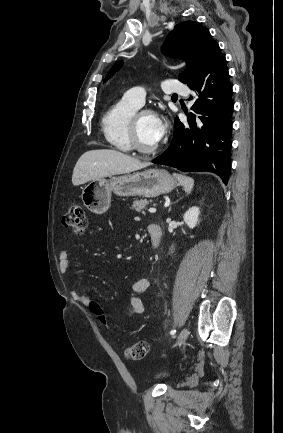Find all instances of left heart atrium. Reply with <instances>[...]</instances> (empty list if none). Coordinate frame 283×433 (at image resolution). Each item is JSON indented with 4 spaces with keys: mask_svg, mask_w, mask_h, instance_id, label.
Returning a JSON list of instances; mask_svg holds the SVG:
<instances>
[{
    "mask_svg": "<svg viewBox=\"0 0 283 433\" xmlns=\"http://www.w3.org/2000/svg\"><path fill=\"white\" fill-rule=\"evenodd\" d=\"M165 133L164 122L155 115V124L152 132V141L155 145L159 144Z\"/></svg>",
    "mask_w": 283,
    "mask_h": 433,
    "instance_id": "1",
    "label": "left heart atrium"
}]
</instances>
